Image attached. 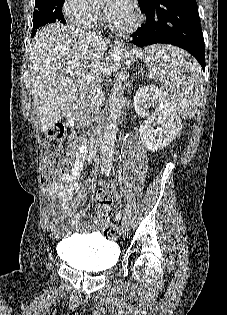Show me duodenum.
Here are the masks:
<instances>
[{"label": "duodenum", "mask_w": 227, "mask_h": 315, "mask_svg": "<svg viewBox=\"0 0 227 315\" xmlns=\"http://www.w3.org/2000/svg\"><path fill=\"white\" fill-rule=\"evenodd\" d=\"M70 118H71V120H73L74 117L71 115ZM98 139H99V136H98V135H94V136H92V138H91V142H92L93 144H95V143H97Z\"/></svg>", "instance_id": "410a0bca"}]
</instances>
